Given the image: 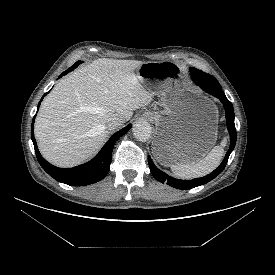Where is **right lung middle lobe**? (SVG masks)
<instances>
[{
  "mask_svg": "<svg viewBox=\"0 0 275 275\" xmlns=\"http://www.w3.org/2000/svg\"><path fill=\"white\" fill-rule=\"evenodd\" d=\"M82 63V61H78V62H76L73 66H78L79 64H81Z\"/></svg>",
  "mask_w": 275,
  "mask_h": 275,
  "instance_id": "1",
  "label": "right lung middle lobe"
}]
</instances>
